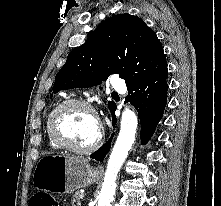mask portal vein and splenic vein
Listing matches in <instances>:
<instances>
[{
	"instance_id": "portal-vein-and-splenic-vein-1",
	"label": "portal vein and splenic vein",
	"mask_w": 221,
	"mask_h": 206,
	"mask_svg": "<svg viewBox=\"0 0 221 206\" xmlns=\"http://www.w3.org/2000/svg\"><path fill=\"white\" fill-rule=\"evenodd\" d=\"M81 198L83 199V198H84V195H81Z\"/></svg>"
}]
</instances>
